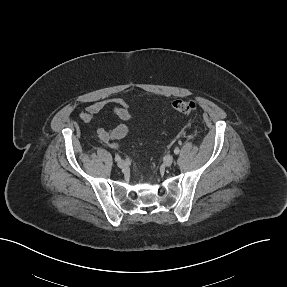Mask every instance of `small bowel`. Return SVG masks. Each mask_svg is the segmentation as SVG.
<instances>
[{
    "label": "small bowel",
    "mask_w": 287,
    "mask_h": 287,
    "mask_svg": "<svg viewBox=\"0 0 287 287\" xmlns=\"http://www.w3.org/2000/svg\"><path fill=\"white\" fill-rule=\"evenodd\" d=\"M111 106L112 111L123 121H128L131 118V112L127 103L121 98H104L98 100L83 111L79 112V118L85 123L94 120L106 107ZM130 133V127L125 124H119L112 129H105L101 126L97 127L96 135L99 142L109 145L113 149L120 148L119 140L125 138Z\"/></svg>",
    "instance_id": "obj_1"
}]
</instances>
